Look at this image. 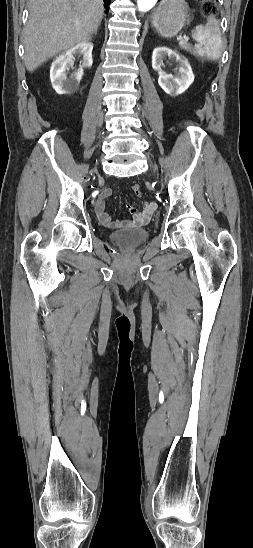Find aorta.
I'll return each instance as SVG.
<instances>
[{
    "label": "aorta",
    "instance_id": "obj_1",
    "mask_svg": "<svg viewBox=\"0 0 253 548\" xmlns=\"http://www.w3.org/2000/svg\"><path fill=\"white\" fill-rule=\"evenodd\" d=\"M157 1L158 0H137V6L139 11L146 12L152 9L156 5Z\"/></svg>",
    "mask_w": 253,
    "mask_h": 548
}]
</instances>
